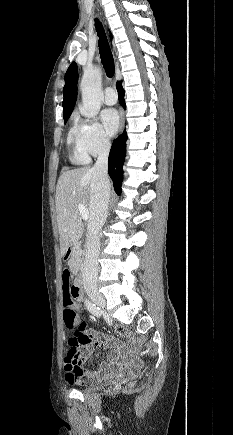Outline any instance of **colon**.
Segmentation results:
<instances>
[{"label": "colon", "instance_id": "1", "mask_svg": "<svg viewBox=\"0 0 233 435\" xmlns=\"http://www.w3.org/2000/svg\"><path fill=\"white\" fill-rule=\"evenodd\" d=\"M62 281L66 284L70 282L71 279V272L67 268H65L61 275ZM63 304L65 306V310L63 313L64 323L65 326L68 329H74L78 322V314L76 310V305L73 301V298L71 295L65 293L63 297ZM115 331L117 334L126 337V338H132L133 332L128 330L127 328L123 326H117L115 328ZM83 338L77 334H74L73 336L69 337L68 339V351L66 355V361L74 364L82 363V357L80 354V351L78 349V346L80 342H82Z\"/></svg>", "mask_w": 233, "mask_h": 435}]
</instances>
